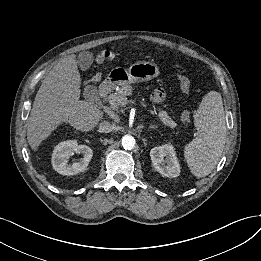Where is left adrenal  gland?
<instances>
[{"label": "left adrenal gland", "mask_w": 261, "mask_h": 261, "mask_svg": "<svg viewBox=\"0 0 261 261\" xmlns=\"http://www.w3.org/2000/svg\"><path fill=\"white\" fill-rule=\"evenodd\" d=\"M158 127L157 126H150L149 129H157Z\"/></svg>", "instance_id": "1"}]
</instances>
